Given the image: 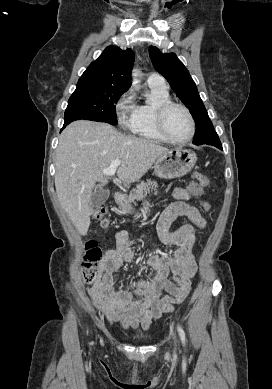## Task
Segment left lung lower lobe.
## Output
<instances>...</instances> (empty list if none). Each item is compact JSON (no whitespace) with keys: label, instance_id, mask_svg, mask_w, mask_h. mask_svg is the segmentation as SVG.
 <instances>
[{"label":"left lung lower lobe","instance_id":"obj_1","mask_svg":"<svg viewBox=\"0 0 272 389\" xmlns=\"http://www.w3.org/2000/svg\"><path fill=\"white\" fill-rule=\"evenodd\" d=\"M203 144L213 145V146H215V147H217V148L222 150V145H221V142H220L219 137H218L217 134L212 136L210 139H208Z\"/></svg>","mask_w":272,"mask_h":389}]
</instances>
